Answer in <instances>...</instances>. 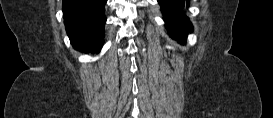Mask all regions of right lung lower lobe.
Instances as JSON below:
<instances>
[{
  "label": "right lung lower lobe",
  "mask_w": 273,
  "mask_h": 118,
  "mask_svg": "<svg viewBox=\"0 0 273 118\" xmlns=\"http://www.w3.org/2000/svg\"><path fill=\"white\" fill-rule=\"evenodd\" d=\"M107 0H63V17L74 48L99 52L103 46Z\"/></svg>",
  "instance_id": "right-lung-lower-lobe-1"
}]
</instances>
